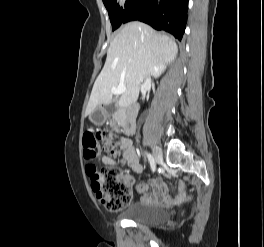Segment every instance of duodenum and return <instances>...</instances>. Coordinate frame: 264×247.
I'll return each mask as SVG.
<instances>
[{
	"instance_id": "duodenum-1",
	"label": "duodenum",
	"mask_w": 264,
	"mask_h": 247,
	"mask_svg": "<svg viewBox=\"0 0 264 247\" xmlns=\"http://www.w3.org/2000/svg\"><path fill=\"white\" fill-rule=\"evenodd\" d=\"M138 107L136 104L130 105L125 115L120 119L121 126L123 131L127 135H133L136 130V114Z\"/></svg>"
}]
</instances>
